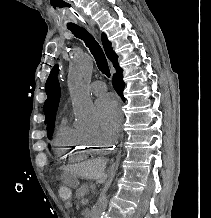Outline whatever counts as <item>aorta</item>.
<instances>
[{
  "mask_svg": "<svg viewBox=\"0 0 211 218\" xmlns=\"http://www.w3.org/2000/svg\"><path fill=\"white\" fill-rule=\"evenodd\" d=\"M93 61L88 55L74 57L68 75V86L72 97L76 125L85 131L98 128V117L88 92ZM108 196L101 194L90 212V218H103L107 208Z\"/></svg>",
  "mask_w": 211,
  "mask_h": 218,
  "instance_id": "762f6f07",
  "label": "aorta"
}]
</instances>
